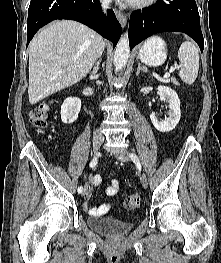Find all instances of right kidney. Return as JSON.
Segmentation results:
<instances>
[{"label": "right kidney", "mask_w": 221, "mask_h": 263, "mask_svg": "<svg viewBox=\"0 0 221 263\" xmlns=\"http://www.w3.org/2000/svg\"><path fill=\"white\" fill-rule=\"evenodd\" d=\"M81 109V100L77 97H68L61 105V120L65 124H71L78 118Z\"/></svg>", "instance_id": "obj_1"}]
</instances>
